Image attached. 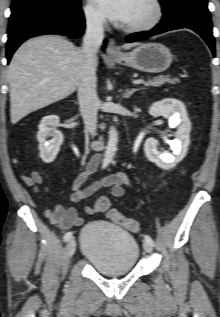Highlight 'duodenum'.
I'll use <instances>...</instances> for the list:
<instances>
[{
  "instance_id": "duodenum-1",
  "label": "duodenum",
  "mask_w": 220,
  "mask_h": 317,
  "mask_svg": "<svg viewBox=\"0 0 220 317\" xmlns=\"http://www.w3.org/2000/svg\"><path fill=\"white\" fill-rule=\"evenodd\" d=\"M92 145L95 148H103L105 145V141L101 138H98L95 141H93Z\"/></svg>"
}]
</instances>
